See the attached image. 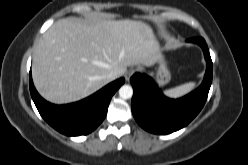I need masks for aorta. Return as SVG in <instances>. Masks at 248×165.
Listing matches in <instances>:
<instances>
[{
  "label": "aorta",
  "mask_w": 248,
  "mask_h": 165,
  "mask_svg": "<svg viewBox=\"0 0 248 165\" xmlns=\"http://www.w3.org/2000/svg\"><path fill=\"white\" fill-rule=\"evenodd\" d=\"M133 95V89L131 86L129 85H123L120 89H119V96L122 99H130Z\"/></svg>",
  "instance_id": "762f6f07"
}]
</instances>
